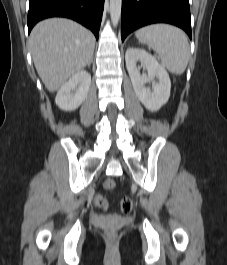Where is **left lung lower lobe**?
Listing matches in <instances>:
<instances>
[{
	"instance_id": "0a47b994",
	"label": "left lung lower lobe",
	"mask_w": 227,
	"mask_h": 265,
	"mask_svg": "<svg viewBox=\"0 0 227 265\" xmlns=\"http://www.w3.org/2000/svg\"><path fill=\"white\" fill-rule=\"evenodd\" d=\"M152 23L176 25L191 38L188 0H122L121 38Z\"/></svg>"
}]
</instances>
